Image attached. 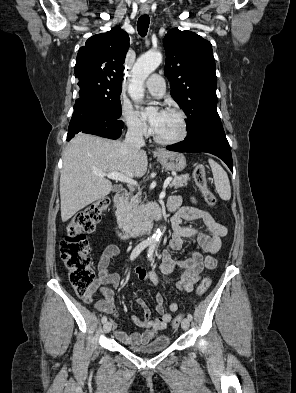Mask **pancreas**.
I'll return each mask as SVG.
<instances>
[{
  "label": "pancreas",
  "mask_w": 296,
  "mask_h": 393,
  "mask_svg": "<svg viewBox=\"0 0 296 393\" xmlns=\"http://www.w3.org/2000/svg\"><path fill=\"white\" fill-rule=\"evenodd\" d=\"M190 180L188 175H181L174 177L170 183V187L178 189L187 185ZM143 214V206L141 204V193L138 192L136 195L126 200L120 211V218L124 229H130L139 224Z\"/></svg>",
  "instance_id": "cf45deb5"
}]
</instances>
